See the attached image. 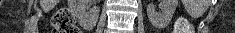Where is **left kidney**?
Wrapping results in <instances>:
<instances>
[{"instance_id": "5707ae66", "label": "left kidney", "mask_w": 235, "mask_h": 33, "mask_svg": "<svg viewBox=\"0 0 235 33\" xmlns=\"http://www.w3.org/2000/svg\"><path fill=\"white\" fill-rule=\"evenodd\" d=\"M177 5L178 0H162L161 10L156 11L155 5L149 3L147 6L148 18L156 26H165L171 21Z\"/></svg>"}]
</instances>
